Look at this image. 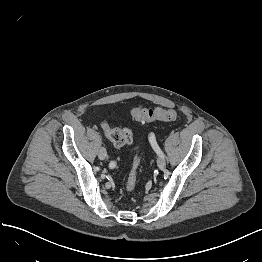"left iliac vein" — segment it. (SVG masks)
Returning <instances> with one entry per match:
<instances>
[{
  "label": "left iliac vein",
  "instance_id": "left-iliac-vein-1",
  "mask_svg": "<svg viewBox=\"0 0 262 262\" xmlns=\"http://www.w3.org/2000/svg\"><path fill=\"white\" fill-rule=\"evenodd\" d=\"M157 165H158L159 169H161V170H163L165 168L166 161H165V156L164 155H160L158 157Z\"/></svg>",
  "mask_w": 262,
  "mask_h": 262
}]
</instances>
